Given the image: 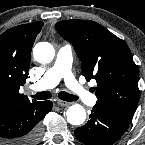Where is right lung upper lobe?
Segmentation results:
<instances>
[{
	"label": "right lung upper lobe",
	"instance_id": "right-lung-upper-lobe-1",
	"mask_svg": "<svg viewBox=\"0 0 145 145\" xmlns=\"http://www.w3.org/2000/svg\"><path fill=\"white\" fill-rule=\"evenodd\" d=\"M42 22L23 24L0 35V109L32 102L19 93L30 66L31 49Z\"/></svg>",
	"mask_w": 145,
	"mask_h": 145
}]
</instances>
